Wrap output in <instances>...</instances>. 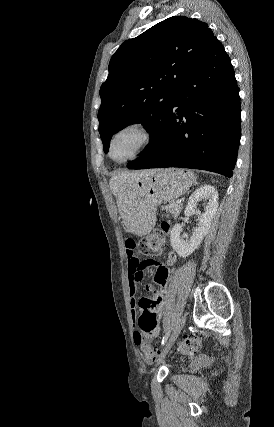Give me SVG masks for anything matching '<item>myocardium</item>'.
<instances>
[{
  "label": "myocardium",
  "instance_id": "f54148a6",
  "mask_svg": "<svg viewBox=\"0 0 274 427\" xmlns=\"http://www.w3.org/2000/svg\"><path fill=\"white\" fill-rule=\"evenodd\" d=\"M126 130L137 131L141 136V142L138 148L136 149V151L134 152V154L130 158L124 161H116L111 155L112 143L114 138L119 133ZM154 139H155V133L153 129L150 127V125L147 124L146 122L142 120H135V121L128 122L120 126L119 128H117L109 137L108 144H107V155L116 164H119V165L127 164L135 160L136 158H138L140 155H142L152 145V143L154 142Z\"/></svg>",
  "mask_w": 274,
  "mask_h": 427
}]
</instances>
